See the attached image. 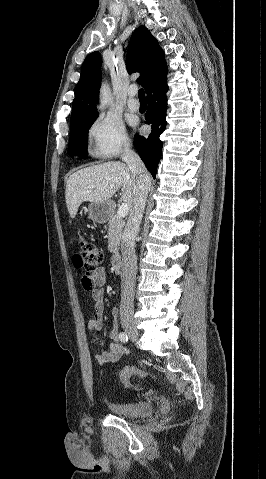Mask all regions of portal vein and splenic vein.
<instances>
[{"label": "portal vein and splenic vein", "instance_id": "1", "mask_svg": "<svg viewBox=\"0 0 266 479\" xmlns=\"http://www.w3.org/2000/svg\"><path fill=\"white\" fill-rule=\"evenodd\" d=\"M128 212H129V206L125 203H122L118 208L117 216L119 218H124L125 216H127Z\"/></svg>", "mask_w": 266, "mask_h": 479}]
</instances>
